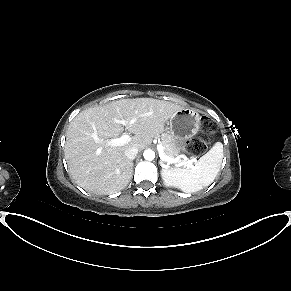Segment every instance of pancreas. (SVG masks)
I'll return each instance as SVG.
<instances>
[{"label":"pancreas","mask_w":291,"mask_h":291,"mask_svg":"<svg viewBox=\"0 0 291 291\" xmlns=\"http://www.w3.org/2000/svg\"><path fill=\"white\" fill-rule=\"evenodd\" d=\"M161 145L163 147L165 156L167 157L175 156V150L173 148V143H172V139L170 135H167V134L162 135Z\"/></svg>","instance_id":"cf45deb5"}]
</instances>
